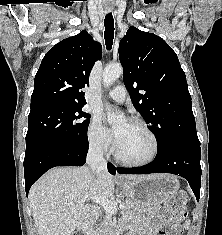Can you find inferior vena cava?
<instances>
[{"label":"inferior vena cava","mask_w":222,"mask_h":235,"mask_svg":"<svg viewBox=\"0 0 222 235\" xmlns=\"http://www.w3.org/2000/svg\"><path fill=\"white\" fill-rule=\"evenodd\" d=\"M87 164L93 173L96 171L106 170L107 162L103 158V150L101 145L93 144L89 147L87 154Z\"/></svg>","instance_id":"1"}]
</instances>
